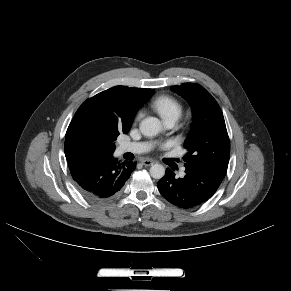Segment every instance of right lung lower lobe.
Masks as SVG:
<instances>
[{
  "label": "right lung lower lobe",
  "mask_w": 291,
  "mask_h": 291,
  "mask_svg": "<svg viewBox=\"0 0 291 291\" xmlns=\"http://www.w3.org/2000/svg\"><path fill=\"white\" fill-rule=\"evenodd\" d=\"M135 162H119L113 153H93L69 162L72 178L80 193L90 200L107 199L121 190Z\"/></svg>",
  "instance_id": "right-lung-lower-lobe-1"
}]
</instances>
